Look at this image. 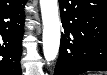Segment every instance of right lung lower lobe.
I'll return each instance as SVG.
<instances>
[{"instance_id":"98d812e1","label":"right lung lower lobe","mask_w":107,"mask_h":75,"mask_svg":"<svg viewBox=\"0 0 107 75\" xmlns=\"http://www.w3.org/2000/svg\"><path fill=\"white\" fill-rule=\"evenodd\" d=\"M25 0H0V75H21Z\"/></svg>"}]
</instances>
